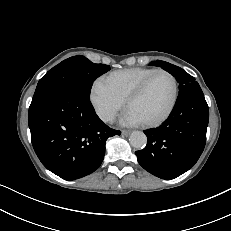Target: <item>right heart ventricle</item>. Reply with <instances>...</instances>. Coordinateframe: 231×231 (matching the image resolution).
<instances>
[{
  "instance_id": "1",
  "label": "right heart ventricle",
  "mask_w": 231,
  "mask_h": 231,
  "mask_svg": "<svg viewBox=\"0 0 231 231\" xmlns=\"http://www.w3.org/2000/svg\"><path fill=\"white\" fill-rule=\"evenodd\" d=\"M153 70V68L136 67L117 70L102 78L101 82L123 102L135 87Z\"/></svg>"
}]
</instances>
